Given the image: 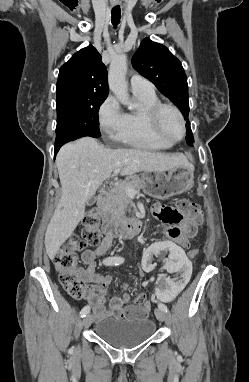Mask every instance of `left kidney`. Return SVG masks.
<instances>
[{
  "label": "left kidney",
  "instance_id": "5707ae66",
  "mask_svg": "<svg viewBox=\"0 0 249 382\" xmlns=\"http://www.w3.org/2000/svg\"><path fill=\"white\" fill-rule=\"evenodd\" d=\"M153 254L155 257H165V262L154 266ZM143 258L144 260L138 261L142 272L154 273L152 282L156 291L153 292V297L158 302H166V306H171L176 293H183L184 288L191 283L192 261L187 258L182 246L177 245L174 240H156L154 245L147 246V253Z\"/></svg>",
  "mask_w": 249,
  "mask_h": 382
}]
</instances>
